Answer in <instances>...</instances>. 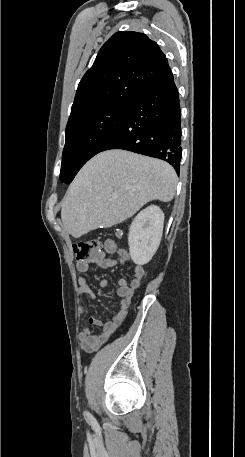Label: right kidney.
Returning <instances> with one entry per match:
<instances>
[{
	"label": "right kidney",
	"instance_id": "right-kidney-1",
	"mask_svg": "<svg viewBox=\"0 0 245 457\" xmlns=\"http://www.w3.org/2000/svg\"><path fill=\"white\" fill-rule=\"evenodd\" d=\"M164 224V212L151 204L141 210L131 222L129 229L128 245L130 257L137 253H156Z\"/></svg>",
	"mask_w": 245,
	"mask_h": 457
}]
</instances>
